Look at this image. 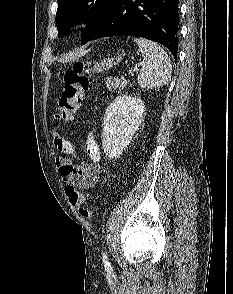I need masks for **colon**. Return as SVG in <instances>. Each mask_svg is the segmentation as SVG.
I'll use <instances>...</instances> for the list:
<instances>
[{
	"label": "colon",
	"instance_id": "colon-1",
	"mask_svg": "<svg viewBox=\"0 0 233 294\" xmlns=\"http://www.w3.org/2000/svg\"><path fill=\"white\" fill-rule=\"evenodd\" d=\"M89 85V76L84 73V65L77 62L72 69L68 70L64 75V88L62 95L58 101L57 117L63 120H72L80 109L84 92ZM66 195L69 202L79 207V212L84 218H91L93 212L83 207L87 198L84 193L72 186H67Z\"/></svg>",
	"mask_w": 233,
	"mask_h": 294
}]
</instances>
